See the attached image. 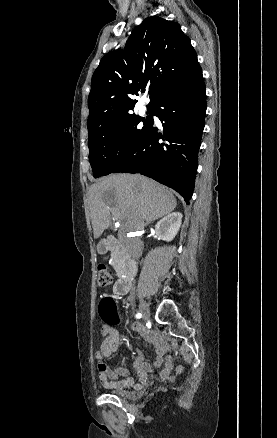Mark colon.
<instances>
[{
  "instance_id": "5ec220e1",
  "label": "colon",
  "mask_w": 277,
  "mask_h": 438,
  "mask_svg": "<svg viewBox=\"0 0 277 438\" xmlns=\"http://www.w3.org/2000/svg\"><path fill=\"white\" fill-rule=\"evenodd\" d=\"M96 283L99 287H107L113 283V274L106 265H98L96 273Z\"/></svg>"
}]
</instances>
